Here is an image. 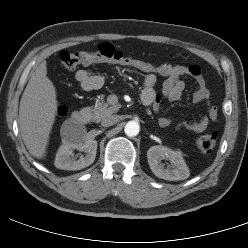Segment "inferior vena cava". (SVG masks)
<instances>
[{
	"label": "inferior vena cava",
	"instance_id": "1",
	"mask_svg": "<svg viewBox=\"0 0 248 248\" xmlns=\"http://www.w3.org/2000/svg\"><path fill=\"white\" fill-rule=\"evenodd\" d=\"M118 116L117 115H110V116H107L105 118H103L101 120V125L103 127H108V126H112L114 125L115 123L118 122Z\"/></svg>",
	"mask_w": 248,
	"mask_h": 248
}]
</instances>
